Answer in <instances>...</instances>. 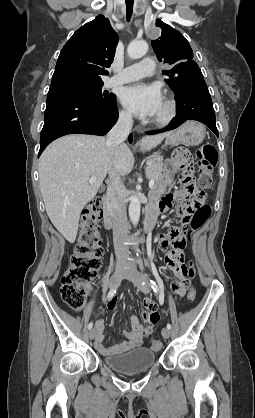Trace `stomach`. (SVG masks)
Segmentation results:
<instances>
[{
	"mask_svg": "<svg viewBox=\"0 0 255 418\" xmlns=\"http://www.w3.org/2000/svg\"><path fill=\"white\" fill-rule=\"evenodd\" d=\"M205 137V130L202 125L196 122H187L177 130L171 132L165 144L176 146L179 144L195 146L199 145Z\"/></svg>",
	"mask_w": 255,
	"mask_h": 418,
	"instance_id": "1",
	"label": "stomach"
}]
</instances>
